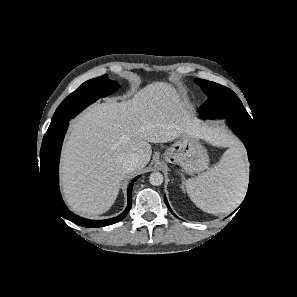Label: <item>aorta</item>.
<instances>
[{
  "label": "aorta",
  "instance_id": "obj_1",
  "mask_svg": "<svg viewBox=\"0 0 297 297\" xmlns=\"http://www.w3.org/2000/svg\"><path fill=\"white\" fill-rule=\"evenodd\" d=\"M149 181L153 186H159L163 183V175L160 172L150 174Z\"/></svg>",
  "mask_w": 297,
  "mask_h": 297
}]
</instances>
